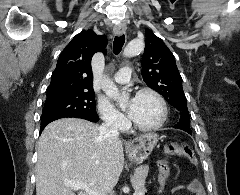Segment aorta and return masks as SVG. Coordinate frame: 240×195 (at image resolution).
Masks as SVG:
<instances>
[{
    "instance_id": "aorta-1",
    "label": "aorta",
    "mask_w": 240,
    "mask_h": 195,
    "mask_svg": "<svg viewBox=\"0 0 240 195\" xmlns=\"http://www.w3.org/2000/svg\"><path fill=\"white\" fill-rule=\"evenodd\" d=\"M143 50L144 42H140V40H132V42H129L126 48H124L123 56H126V58H132V56L140 54ZM103 92L108 98L115 99V101L121 99V94L117 86H115L114 82H111L109 78H104L103 80Z\"/></svg>"
}]
</instances>
